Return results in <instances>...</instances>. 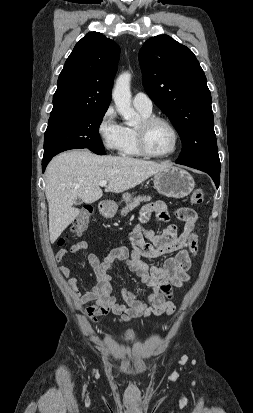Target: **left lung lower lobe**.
<instances>
[{
    "label": "left lung lower lobe",
    "instance_id": "left-lung-lower-lobe-1",
    "mask_svg": "<svg viewBox=\"0 0 253 413\" xmlns=\"http://www.w3.org/2000/svg\"><path fill=\"white\" fill-rule=\"evenodd\" d=\"M176 163H178L176 161ZM181 164V163H178ZM186 165L198 170H201L203 172L208 173L213 181L215 182L216 187H219V182H220V166H211V165H190V164H182Z\"/></svg>",
    "mask_w": 253,
    "mask_h": 413
}]
</instances>
